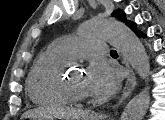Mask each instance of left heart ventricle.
<instances>
[{
	"label": "left heart ventricle",
	"mask_w": 165,
	"mask_h": 120,
	"mask_svg": "<svg viewBox=\"0 0 165 120\" xmlns=\"http://www.w3.org/2000/svg\"><path fill=\"white\" fill-rule=\"evenodd\" d=\"M68 80L77 90L87 95H91L87 87V76L83 72L72 74Z\"/></svg>",
	"instance_id": "1"
}]
</instances>
